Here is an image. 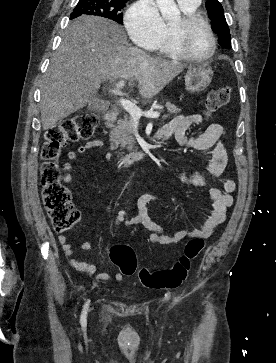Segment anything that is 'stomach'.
Here are the masks:
<instances>
[{"instance_id":"0dacf381","label":"stomach","mask_w":276,"mask_h":363,"mask_svg":"<svg viewBox=\"0 0 276 363\" xmlns=\"http://www.w3.org/2000/svg\"><path fill=\"white\" fill-rule=\"evenodd\" d=\"M213 71L208 65L190 66L185 75L186 90L192 94L204 91L211 83Z\"/></svg>"}]
</instances>
